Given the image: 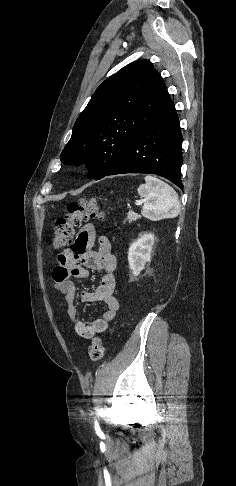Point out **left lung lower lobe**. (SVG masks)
<instances>
[{
	"label": "left lung lower lobe",
	"mask_w": 236,
	"mask_h": 486,
	"mask_svg": "<svg viewBox=\"0 0 236 486\" xmlns=\"http://www.w3.org/2000/svg\"><path fill=\"white\" fill-rule=\"evenodd\" d=\"M183 137L173 101L131 141L106 174L149 173L162 176L183 189L180 169Z\"/></svg>",
	"instance_id": "0a47b994"
}]
</instances>
